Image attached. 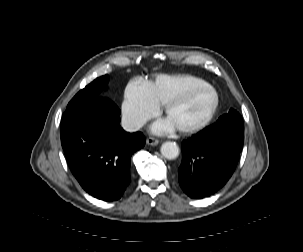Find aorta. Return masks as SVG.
I'll return each instance as SVG.
<instances>
[{"mask_svg":"<svg viewBox=\"0 0 303 252\" xmlns=\"http://www.w3.org/2000/svg\"><path fill=\"white\" fill-rule=\"evenodd\" d=\"M160 152L166 159L173 160L179 155V147L175 142L167 141L162 144Z\"/></svg>","mask_w":303,"mask_h":252,"instance_id":"obj_1","label":"aorta"}]
</instances>
